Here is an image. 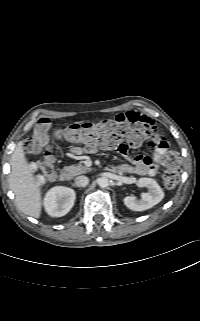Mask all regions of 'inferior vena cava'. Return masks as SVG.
I'll return each instance as SVG.
<instances>
[{
  "label": "inferior vena cava",
  "instance_id": "inferior-vena-cava-1",
  "mask_svg": "<svg viewBox=\"0 0 200 321\" xmlns=\"http://www.w3.org/2000/svg\"><path fill=\"white\" fill-rule=\"evenodd\" d=\"M75 183L78 187H85L89 183L87 176L81 175L75 178Z\"/></svg>",
  "mask_w": 200,
  "mask_h": 321
}]
</instances>
